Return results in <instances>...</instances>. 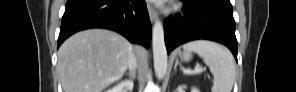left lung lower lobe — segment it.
Segmentation results:
<instances>
[{
	"label": "left lung lower lobe",
	"instance_id": "0a47b994",
	"mask_svg": "<svg viewBox=\"0 0 296 92\" xmlns=\"http://www.w3.org/2000/svg\"><path fill=\"white\" fill-rule=\"evenodd\" d=\"M184 18L165 20L167 52L185 42L213 40L226 45L237 60L235 20L230 0H182ZM181 16V15H178Z\"/></svg>",
	"mask_w": 296,
	"mask_h": 92
}]
</instances>
